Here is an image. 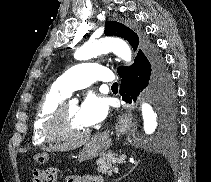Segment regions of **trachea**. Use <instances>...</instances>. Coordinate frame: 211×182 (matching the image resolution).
<instances>
[{
  "mask_svg": "<svg viewBox=\"0 0 211 182\" xmlns=\"http://www.w3.org/2000/svg\"><path fill=\"white\" fill-rule=\"evenodd\" d=\"M112 88H118V83H114V84L112 85Z\"/></svg>",
  "mask_w": 211,
  "mask_h": 182,
  "instance_id": "3493384b",
  "label": "trachea"
}]
</instances>
